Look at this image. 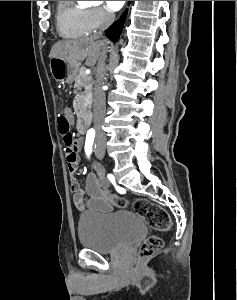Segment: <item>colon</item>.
<instances>
[{"mask_svg":"<svg viewBox=\"0 0 237 300\" xmlns=\"http://www.w3.org/2000/svg\"><path fill=\"white\" fill-rule=\"evenodd\" d=\"M58 130L67 149L74 147L78 143L77 137L72 133L70 123L64 115L58 117ZM108 197L119 208H124L127 204L123 197L116 195H109ZM132 207L134 212L142 216L146 223L155 231L166 232L170 229L171 219L169 213L162 206L147 199L139 198L133 202ZM162 245L161 237L157 235L148 236L139 246L138 253L140 258L146 259L155 255Z\"/></svg>","mask_w":237,"mask_h":300,"instance_id":"colon-1","label":"colon"}]
</instances>
